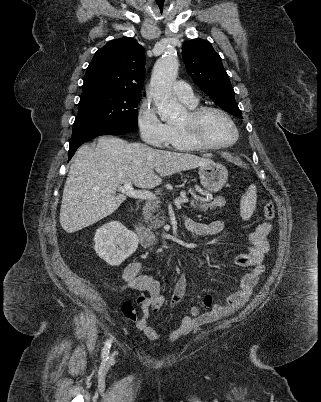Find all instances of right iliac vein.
Segmentation results:
<instances>
[{"label": "right iliac vein", "mask_w": 321, "mask_h": 402, "mask_svg": "<svg viewBox=\"0 0 321 402\" xmlns=\"http://www.w3.org/2000/svg\"><path fill=\"white\" fill-rule=\"evenodd\" d=\"M114 357H115V354H114V353L111 354V356H110V361H113V360H114Z\"/></svg>", "instance_id": "obj_1"}]
</instances>
